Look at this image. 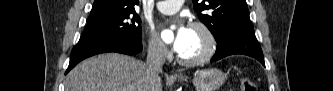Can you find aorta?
Returning a JSON list of instances; mask_svg holds the SVG:
<instances>
[{
  "label": "aorta",
  "mask_w": 333,
  "mask_h": 91,
  "mask_svg": "<svg viewBox=\"0 0 333 91\" xmlns=\"http://www.w3.org/2000/svg\"><path fill=\"white\" fill-rule=\"evenodd\" d=\"M161 36L164 40H171L173 38V33L171 30H164Z\"/></svg>",
  "instance_id": "aorta-1"
}]
</instances>
